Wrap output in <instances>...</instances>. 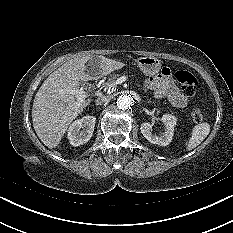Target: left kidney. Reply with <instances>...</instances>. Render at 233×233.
I'll return each instance as SVG.
<instances>
[{
	"label": "left kidney",
	"instance_id": "1",
	"mask_svg": "<svg viewBox=\"0 0 233 233\" xmlns=\"http://www.w3.org/2000/svg\"><path fill=\"white\" fill-rule=\"evenodd\" d=\"M161 122L165 126V132L160 136L152 134V123L145 122L141 124L140 130L143 136L150 142L160 146L168 145L174 135V127L177 119L171 114H164L161 118Z\"/></svg>",
	"mask_w": 233,
	"mask_h": 233
}]
</instances>
